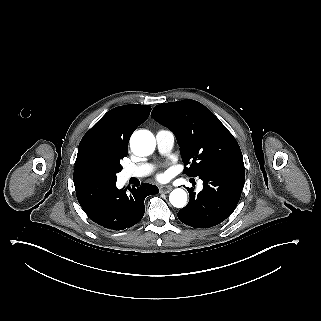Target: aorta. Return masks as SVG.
Instances as JSON below:
<instances>
[{
    "label": "aorta",
    "mask_w": 321,
    "mask_h": 321,
    "mask_svg": "<svg viewBox=\"0 0 321 321\" xmlns=\"http://www.w3.org/2000/svg\"><path fill=\"white\" fill-rule=\"evenodd\" d=\"M130 147L138 156H148L155 150L156 140L154 135L147 130H138L133 133ZM170 203L176 208H183L187 203V193L181 188L174 189L169 195Z\"/></svg>",
    "instance_id": "aorta-1"
}]
</instances>
